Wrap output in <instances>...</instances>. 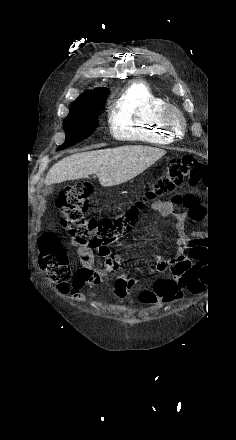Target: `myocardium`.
Wrapping results in <instances>:
<instances>
[{
  "mask_svg": "<svg viewBox=\"0 0 236 440\" xmlns=\"http://www.w3.org/2000/svg\"><path fill=\"white\" fill-rule=\"evenodd\" d=\"M160 121L173 139H179L183 136L186 128V118L177 106L167 104L161 112Z\"/></svg>",
  "mask_w": 236,
  "mask_h": 440,
  "instance_id": "f54148a6",
  "label": "myocardium"
}]
</instances>
